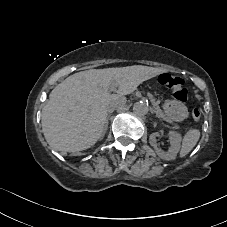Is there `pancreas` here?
<instances>
[{"label":"pancreas","mask_w":227,"mask_h":227,"mask_svg":"<svg viewBox=\"0 0 227 227\" xmlns=\"http://www.w3.org/2000/svg\"><path fill=\"white\" fill-rule=\"evenodd\" d=\"M157 111H161L159 107L156 108ZM162 117H165L164 114H162Z\"/></svg>","instance_id":"cf45deb5"}]
</instances>
